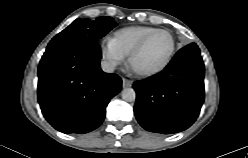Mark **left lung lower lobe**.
Here are the masks:
<instances>
[{"label": "left lung lower lobe", "instance_id": "left-lung-lower-lobe-1", "mask_svg": "<svg viewBox=\"0 0 248 158\" xmlns=\"http://www.w3.org/2000/svg\"><path fill=\"white\" fill-rule=\"evenodd\" d=\"M204 64L195 43L180 49L160 73L134 82L135 116L151 132L177 133L190 127L204 101Z\"/></svg>", "mask_w": 248, "mask_h": 158}]
</instances>
